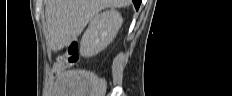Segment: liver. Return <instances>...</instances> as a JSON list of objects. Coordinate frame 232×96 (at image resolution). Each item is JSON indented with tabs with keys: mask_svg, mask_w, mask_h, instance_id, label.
<instances>
[{
	"mask_svg": "<svg viewBox=\"0 0 232 96\" xmlns=\"http://www.w3.org/2000/svg\"><path fill=\"white\" fill-rule=\"evenodd\" d=\"M131 0H46L47 40L53 51L75 41L92 18L105 8H122Z\"/></svg>",
	"mask_w": 232,
	"mask_h": 96,
	"instance_id": "liver-1",
	"label": "liver"
}]
</instances>
